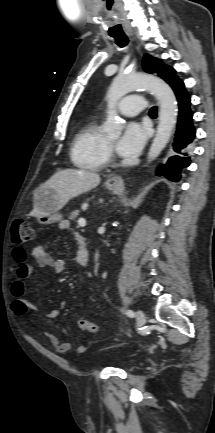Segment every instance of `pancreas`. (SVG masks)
<instances>
[{
    "label": "pancreas",
    "mask_w": 215,
    "mask_h": 433,
    "mask_svg": "<svg viewBox=\"0 0 215 433\" xmlns=\"http://www.w3.org/2000/svg\"><path fill=\"white\" fill-rule=\"evenodd\" d=\"M78 215H79V211L78 210L74 211V212L70 213L69 219L70 220H75L78 217Z\"/></svg>",
    "instance_id": "cf45deb5"
}]
</instances>
